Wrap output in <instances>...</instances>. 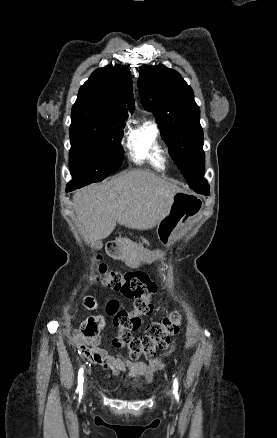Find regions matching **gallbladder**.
<instances>
[{
    "instance_id": "bac80fb5",
    "label": "gallbladder",
    "mask_w": 277,
    "mask_h": 438,
    "mask_svg": "<svg viewBox=\"0 0 277 438\" xmlns=\"http://www.w3.org/2000/svg\"><path fill=\"white\" fill-rule=\"evenodd\" d=\"M96 248H102V244H96Z\"/></svg>"
}]
</instances>
